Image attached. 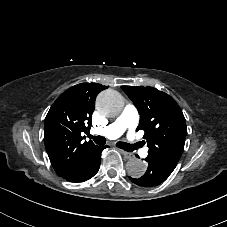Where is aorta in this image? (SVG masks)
<instances>
[{
    "mask_svg": "<svg viewBox=\"0 0 227 227\" xmlns=\"http://www.w3.org/2000/svg\"><path fill=\"white\" fill-rule=\"evenodd\" d=\"M96 107L104 116H116L122 112L124 101L120 93L108 89L98 95ZM126 169L129 176L140 178L146 172V165L142 160L133 158L127 162Z\"/></svg>",
    "mask_w": 227,
    "mask_h": 227,
    "instance_id": "obj_1",
    "label": "aorta"
}]
</instances>
